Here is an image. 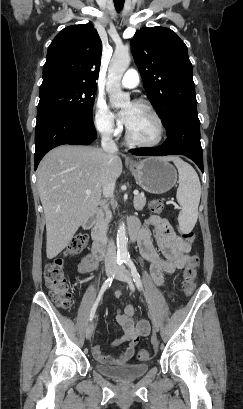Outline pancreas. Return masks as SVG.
Wrapping results in <instances>:
<instances>
[{"mask_svg":"<svg viewBox=\"0 0 243 409\" xmlns=\"http://www.w3.org/2000/svg\"><path fill=\"white\" fill-rule=\"evenodd\" d=\"M135 210L142 211L146 204V197L144 194H138L134 197ZM112 219L111 211L106 207L104 212H101L100 218L94 228L95 237L98 240H106L109 223Z\"/></svg>","mask_w":243,"mask_h":409,"instance_id":"obj_1","label":"pancreas"}]
</instances>
